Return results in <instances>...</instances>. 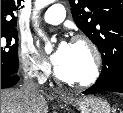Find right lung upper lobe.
<instances>
[{"label": "right lung upper lobe", "instance_id": "obj_1", "mask_svg": "<svg viewBox=\"0 0 123 113\" xmlns=\"http://www.w3.org/2000/svg\"><path fill=\"white\" fill-rule=\"evenodd\" d=\"M23 0H1V29H16L15 12Z\"/></svg>", "mask_w": 123, "mask_h": 113}]
</instances>
